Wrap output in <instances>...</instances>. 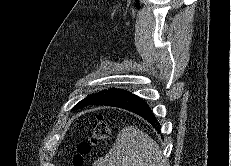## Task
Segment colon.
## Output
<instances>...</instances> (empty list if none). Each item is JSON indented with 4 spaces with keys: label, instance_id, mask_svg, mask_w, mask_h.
I'll list each match as a JSON object with an SVG mask.
<instances>
[{
    "label": "colon",
    "instance_id": "5ec220e1",
    "mask_svg": "<svg viewBox=\"0 0 231 166\" xmlns=\"http://www.w3.org/2000/svg\"><path fill=\"white\" fill-rule=\"evenodd\" d=\"M109 135V126L103 116H98L92 126L91 134L79 144L78 155L74 158V166H83L85 159L93 148Z\"/></svg>",
    "mask_w": 231,
    "mask_h": 166
}]
</instances>
